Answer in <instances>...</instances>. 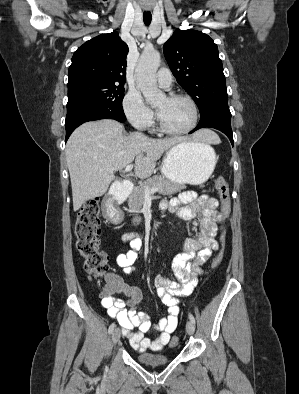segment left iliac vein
Wrapping results in <instances>:
<instances>
[{"instance_id": "obj_1", "label": "left iliac vein", "mask_w": 299, "mask_h": 394, "mask_svg": "<svg viewBox=\"0 0 299 394\" xmlns=\"http://www.w3.org/2000/svg\"><path fill=\"white\" fill-rule=\"evenodd\" d=\"M186 331L189 335H193L195 332V325L191 320L186 324Z\"/></svg>"}]
</instances>
